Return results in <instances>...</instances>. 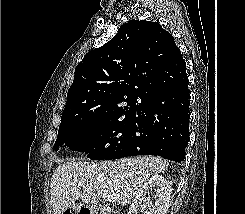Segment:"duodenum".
<instances>
[{"label": "duodenum", "instance_id": "410a0bca", "mask_svg": "<svg viewBox=\"0 0 245 214\" xmlns=\"http://www.w3.org/2000/svg\"><path fill=\"white\" fill-rule=\"evenodd\" d=\"M89 214H109L108 210L105 207H91L89 210Z\"/></svg>", "mask_w": 245, "mask_h": 214}]
</instances>
